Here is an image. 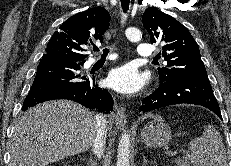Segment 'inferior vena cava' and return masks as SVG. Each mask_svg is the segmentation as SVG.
Returning a JSON list of instances; mask_svg holds the SVG:
<instances>
[{"mask_svg": "<svg viewBox=\"0 0 231 166\" xmlns=\"http://www.w3.org/2000/svg\"><path fill=\"white\" fill-rule=\"evenodd\" d=\"M97 134L93 144V152L98 159L104 155L107 138V120L103 114L96 115Z\"/></svg>", "mask_w": 231, "mask_h": 166, "instance_id": "inferior-vena-cava-1", "label": "inferior vena cava"}]
</instances>
